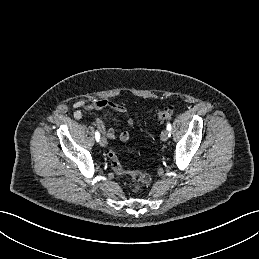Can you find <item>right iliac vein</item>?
Returning <instances> with one entry per match:
<instances>
[{
  "instance_id": "right-iliac-vein-1",
  "label": "right iliac vein",
  "mask_w": 259,
  "mask_h": 259,
  "mask_svg": "<svg viewBox=\"0 0 259 259\" xmlns=\"http://www.w3.org/2000/svg\"><path fill=\"white\" fill-rule=\"evenodd\" d=\"M100 145L103 146V147H105V146L107 145V140H106L105 137H101V139H100Z\"/></svg>"
}]
</instances>
